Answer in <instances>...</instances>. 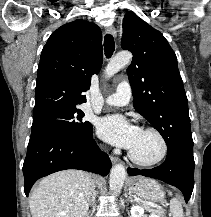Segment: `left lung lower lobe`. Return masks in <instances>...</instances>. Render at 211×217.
Masks as SVG:
<instances>
[{"label":"left lung lower lobe","mask_w":211,"mask_h":217,"mask_svg":"<svg viewBox=\"0 0 211 217\" xmlns=\"http://www.w3.org/2000/svg\"><path fill=\"white\" fill-rule=\"evenodd\" d=\"M194 165L193 149L175 146L168 148L166 160L160 166L149 170L128 168L127 172L130 176L156 178L177 187L187 203L194 186Z\"/></svg>","instance_id":"obj_1"}]
</instances>
